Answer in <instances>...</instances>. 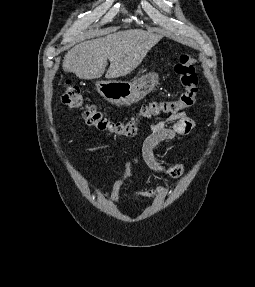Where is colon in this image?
<instances>
[{
	"instance_id": "5ec220e1",
	"label": "colon",
	"mask_w": 255,
	"mask_h": 287,
	"mask_svg": "<svg viewBox=\"0 0 255 287\" xmlns=\"http://www.w3.org/2000/svg\"><path fill=\"white\" fill-rule=\"evenodd\" d=\"M174 71L183 87L180 96L176 100L149 102L124 122L110 120L95 105L87 103L79 87L74 84L66 86L61 99L67 107L81 111L88 126L110 135L131 137L137 133L141 120L160 114H175L195 104L198 92L196 60L189 55H180Z\"/></svg>"
}]
</instances>
